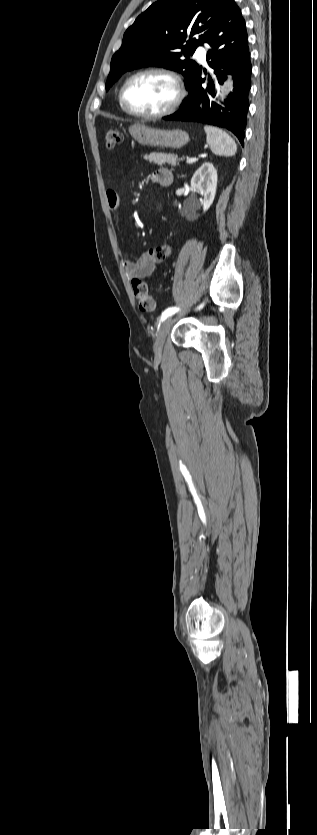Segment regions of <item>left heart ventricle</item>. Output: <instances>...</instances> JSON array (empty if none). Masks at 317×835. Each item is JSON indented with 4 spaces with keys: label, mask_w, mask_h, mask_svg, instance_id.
<instances>
[{
    "label": "left heart ventricle",
    "mask_w": 317,
    "mask_h": 835,
    "mask_svg": "<svg viewBox=\"0 0 317 835\" xmlns=\"http://www.w3.org/2000/svg\"><path fill=\"white\" fill-rule=\"evenodd\" d=\"M173 82L159 74H147L134 79L126 89V100L134 110L156 113L165 109L174 99Z\"/></svg>",
    "instance_id": "1"
}]
</instances>
